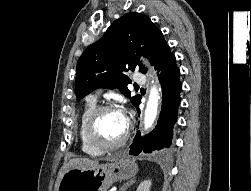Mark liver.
Here are the masks:
<instances>
[{
    "instance_id": "obj_1",
    "label": "liver",
    "mask_w": 251,
    "mask_h": 191,
    "mask_svg": "<svg viewBox=\"0 0 251 191\" xmlns=\"http://www.w3.org/2000/svg\"><path fill=\"white\" fill-rule=\"evenodd\" d=\"M98 163V159H89V157H73V159H69L67 163L62 165L58 173V177L54 185V191H58V185L61 181V177H63L66 171H70V169H74V167H76V169H94Z\"/></svg>"
}]
</instances>
